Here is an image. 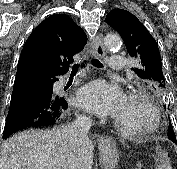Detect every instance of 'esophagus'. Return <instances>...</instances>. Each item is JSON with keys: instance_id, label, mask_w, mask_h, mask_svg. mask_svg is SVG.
I'll use <instances>...</instances> for the list:
<instances>
[{"instance_id": "34e87169", "label": "esophagus", "mask_w": 177, "mask_h": 169, "mask_svg": "<svg viewBox=\"0 0 177 169\" xmlns=\"http://www.w3.org/2000/svg\"><path fill=\"white\" fill-rule=\"evenodd\" d=\"M91 52L95 58H102L105 55L102 34H98L91 43Z\"/></svg>"}]
</instances>
